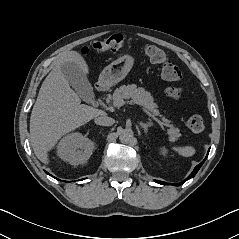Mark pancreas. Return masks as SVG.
I'll return each instance as SVG.
<instances>
[{
  "instance_id": "pancreas-1",
  "label": "pancreas",
  "mask_w": 239,
  "mask_h": 239,
  "mask_svg": "<svg viewBox=\"0 0 239 239\" xmlns=\"http://www.w3.org/2000/svg\"><path fill=\"white\" fill-rule=\"evenodd\" d=\"M133 99L136 103L143 106L147 111L152 113L155 116H160V112L157 109V104L154 103L153 97L143 88H137L136 85H123L117 88L113 94V100H123V99ZM164 122H166V126L170 127L168 129V135L170 136V140L172 142L179 139L181 136L180 130L170 124V121L166 118H162Z\"/></svg>"
}]
</instances>
